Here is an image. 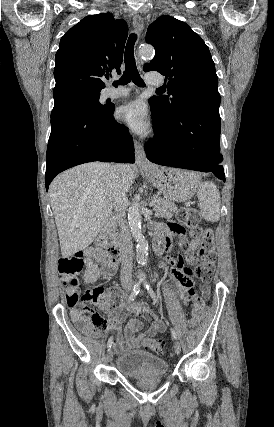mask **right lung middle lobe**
Segmentation results:
<instances>
[{"label":"right lung middle lobe","instance_id":"obj_1","mask_svg":"<svg viewBox=\"0 0 274 427\" xmlns=\"http://www.w3.org/2000/svg\"><path fill=\"white\" fill-rule=\"evenodd\" d=\"M100 93L86 94V95H73L64 99L59 104L54 105L51 113V119L56 116L65 114L75 109L90 107L95 110L107 109L108 105H101L99 102Z\"/></svg>","mask_w":274,"mask_h":427}]
</instances>
